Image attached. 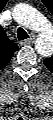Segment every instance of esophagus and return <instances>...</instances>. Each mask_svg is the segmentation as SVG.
Instances as JSON below:
<instances>
[{"mask_svg":"<svg viewBox=\"0 0 53 120\" xmlns=\"http://www.w3.org/2000/svg\"><path fill=\"white\" fill-rule=\"evenodd\" d=\"M34 40H35V38H34V37H31V38H29V39H27V40L22 41L21 44H22V45L31 44V43L34 42Z\"/></svg>","mask_w":53,"mask_h":120,"instance_id":"obj_1","label":"esophagus"}]
</instances>
